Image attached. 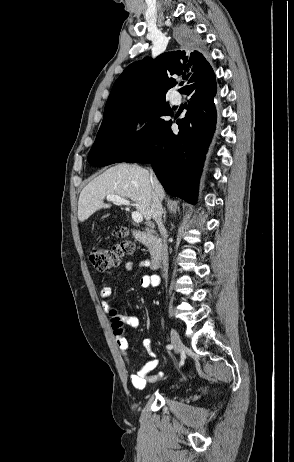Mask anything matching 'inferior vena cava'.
I'll list each match as a JSON object with an SVG mask.
<instances>
[{
  "label": "inferior vena cava",
  "instance_id": "obj_1",
  "mask_svg": "<svg viewBox=\"0 0 294 462\" xmlns=\"http://www.w3.org/2000/svg\"><path fill=\"white\" fill-rule=\"evenodd\" d=\"M151 179H152V173H151ZM151 212H152V217L157 223L160 232H163L164 225L162 222V213H163L162 203H161L160 197L158 196L156 192L153 193ZM163 265H164V271H167V263L164 258H163Z\"/></svg>",
  "mask_w": 294,
  "mask_h": 462
}]
</instances>
